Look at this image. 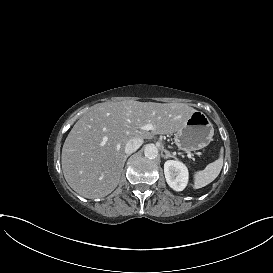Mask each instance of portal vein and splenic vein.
<instances>
[{"mask_svg": "<svg viewBox=\"0 0 273 273\" xmlns=\"http://www.w3.org/2000/svg\"><path fill=\"white\" fill-rule=\"evenodd\" d=\"M141 131H150L153 129V124L152 123H148L147 125L141 126L138 128ZM187 156L189 158H191L192 154L190 152L187 153Z\"/></svg>", "mask_w": 273, "mask_h": 273, "instance_id": "18ae733b", "label": "portal vein and splenic vein"}]
</instances>
